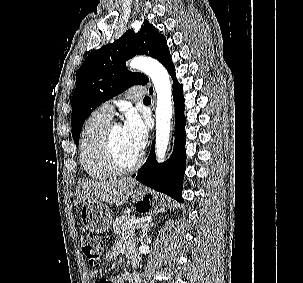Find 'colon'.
<instances>
[{"instance_id": "1", "label": "colon", "mask_w": 303, "mask_h": 283, "mask_svg": "<svg viewBox=\"0 0 303 283\" xmlns=\"http://www.w3.org/2000/svg\"><path fill=\"white\" fill-rule=\"evenodd\" d=\"M80 248L90 264L98 265L106 251V244L99 237L85 235L80 239ZM98 283H114V281L102 278Z\"/></svg>"}]
</instances>
